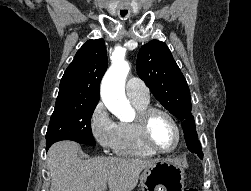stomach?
<instances>
[{
	"mask_svg": "<svg viewBox=\"0 0 251 191\" xmlns=\"http://www.w3.org/2000/svg\"><path fill=\"white\" fill-rule=\"evenodd\" d=\"M183 167L165 159H155L140 175L142 191H184Z\"/></svg>",
	"mask_w": 251,
	"mask_h": 191,
	"instance_id": "obj_1",
	"label": "stomach"
}]
</instances>
